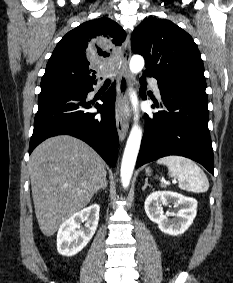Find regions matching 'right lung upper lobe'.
<instances>
[{"label": "right lung upper lobe", "instance_id": "1", "mask_svg": "<svg viewBox=\"0 0 233 283\" xmlns=\"http://www.w3.org/2000/svg\"><path fill=\"white\" fill-rule=\"evenodd\" d=\"M126 33L115 21L98 18L68 32L57 44L41 82L67 81L81 86L96 83L95 70L111 65Z\"/></svg>", "mask_w": 233, "mask_h": 283}]
</instances>
